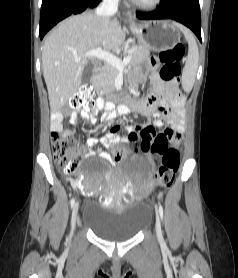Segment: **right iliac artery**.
<instances>
[{
  "label": "right iliac artery",
  "mask_w": 238,
  "mask_h": 278,
  "mask_svg": "<svg viewBox=\"0 0 238 278\" xmlns=\"http://www.w3.org/2000/svg\"><path fill=\"white\" fill-rule=\"evenodd\" d=\"M74 204H75V200H74V198H72V199L70 200L71 208L74 206Z\"/></svg>",
  "instance_id": "right-iliac-artery-1"
}]
</instances>
